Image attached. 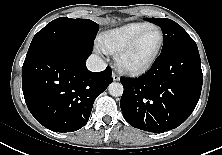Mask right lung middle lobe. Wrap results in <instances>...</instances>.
Listing matches in <instances>:
<instances>
[{
    "mask_svg": "<svg viewBox=\"0 0 222 155\" xmlns=\"http://www.w3.org/2000/svg\"><path fill=\"white\" fill-rule=\"evenodd\" d=\"M98 29L99 25L90 19L57 18L34 36L26 59L57 46L93 47Z\"/></svg>",
    "mask_w": 222,
    "mask_h": 155,
    "instance_id": "obj_1",
    "label": "right lung middle lobe"
}]
</instances>
